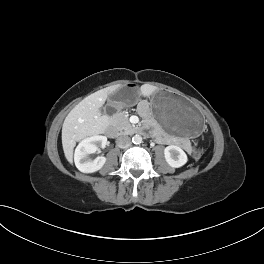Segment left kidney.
<instances>
[{
  "label": "left kidney",
  "mask_w": 264,
  "mask_h": 264,
  "mask_svg": "<svg viewBox=\"0 0 264 264\" xmlns=\"http://www.w3.org/2000/svg\"><path fill=\"white\" fill-rule=\"evenodd\" d=\"M166 162L173 168H179L186 164L187 155L178 146L170 145L164 149Z\"/></svg>",
  "instance_id": "left-kidney-1"
}]
</instances>
